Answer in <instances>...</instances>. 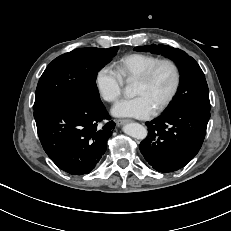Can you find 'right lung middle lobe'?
Here are the masks:
<instances>
[{
  "instance_id": "dd1d6c3e",
  "label": "right lung middle lobe",
  "mask_w": 231,
  "mask_h": 231,
  "mask_svg": "<svg viewBox=\"0 0 231 231\" xmlns=\"http://www.w3.org/2000/svg\"><path fill=\"white\" fill-rule=\"evenodd\" d=\"M118 49V46L108 49L86 47L54 59L38 82L34 110L60 102L100 103L97 73Z\"/></svg>"
}]
</instances>
